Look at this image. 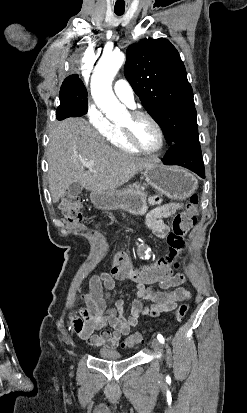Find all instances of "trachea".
<instances>
[{
    "label": "trachea",
    "instance_id": "3493384b",
    "mask_svg": "<svg viewBox=\"0 0 247 413\" xmlns=\"http://www.w3.org/2000/svg\"><path fill=\"white\" fill-rule=\"evenodd\" d=\"M117 15H123L124 11H115Z\"/></svg>",
    "mask_w": 247,
    "mask_h": 413
}]
</instances>
